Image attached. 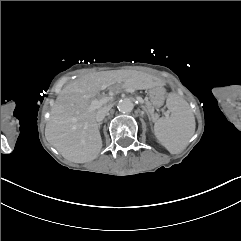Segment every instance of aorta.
Here are the masks:
<instances>
[{"mask_svg": "<svg viewBox=\"0 0 241 241\" xmlns=\"http://www.w3.org/2000/svg\"><path fill=\"white\" fill-rule=\"evenodd\" d=\"M117 108L121 113H129L133 110L134 104L131 99L124 98L119 101Z\"/></svg>", "mask_w": 241, "mask_h": 241, "instance_id": "obj_1", "label": "aorta"}]
</instances>
